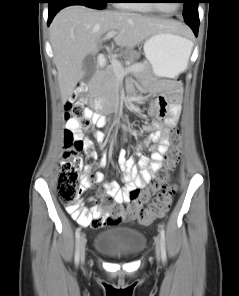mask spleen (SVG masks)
<instances>
[{
  "label": "spleen",
  "instance_id": "3e777b00",
  "mask_svg": "<svg viewBox=\"0 0 239 296\" xmlns=\"http://www.w3.org/2000/svg\"><path fill=\"white\" fill-rule=\"evenodd\" d=\"M192 46H193V43L190 45V47L188 49V57H187V59H189V57H190Z\"/></svg>",
  "mask_w": 239,
  "mask_h": 296
}]
</instances>
